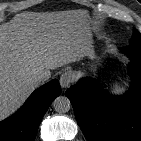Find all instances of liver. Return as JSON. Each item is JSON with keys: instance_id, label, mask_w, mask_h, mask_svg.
Listing matches in <instances>:
<instances>
[{"instance_id": "6515ba94", "label": "liver", "mask_w": 141, "mask_h": 141, "mask_svg": "<svg viewBox=\"0 0 141 141\" xmlns=\"http://www.w3.org/2000/svg\"><path fill=\"white\" fill-rule=\"evenodd\" d=\"M89 40V24L81 10L22 12L1 24L0 120L38 87L37 70L80 60L86 56Z\"/></svg>"}]
</instances>
